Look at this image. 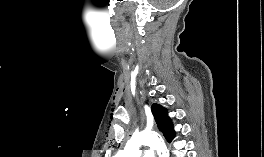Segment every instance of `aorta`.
<instances>
[{
    "label": "aorta",
    "mask_w": 264,
    "mask_h": 157,
    "mask_svg": "<svg viewBox=\"0 0 264 157\" xmlns=\"http://www.w3.org/2000/svg\"><path fill=\"white\" fill-rule=\"evenodd\" d=\"M142 146H149L157 151L159 157H166L167 148L161 137L154 133L141 132L134 135L117 157H140Z\"/></svg>",
    "instance_id": "1"
}]
</instances>
